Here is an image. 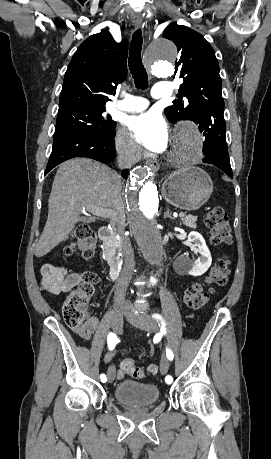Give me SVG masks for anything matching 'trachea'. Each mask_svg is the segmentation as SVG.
I'll list each match as a JSON object with an SVG mask.
<instances>
[{
  "instance_id": "1",
  "label": "trachea",
  "mask_w": 271,
  "mask_h": 459,
  "mask_svg": "<svg viewBox=\"0 0 271 459\" xmlns=\"http://www.w3.org/2000/svg\"><path fill=\"white\" fill-rule=\"evenodd\" d=\"M142 32L140 29L134 32L129 50V69L134 79L135 86L145 90L148 87V76L141 59Z\"/></svg>"
}]
</instances>
